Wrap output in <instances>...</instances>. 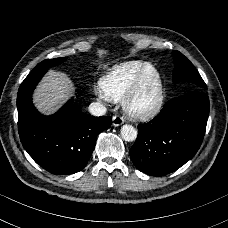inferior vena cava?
<instances>
[{
  "label": "inferior vena cava",
  "instance_id": "obj_1",
  "mask_svg": "<svg viewBox=\"0 0 228 228\" xmlns=\"http://www.w3.org/2000/svg\"><path fill=\"white\" fill-rule=\"evenodd\" d=\"M89 112L94 116H103L106 114V107L100 103H91L89 105Z\"/></svg>",
  "mask_w": 228,
  "mask_h": 228
}]
</instances>
